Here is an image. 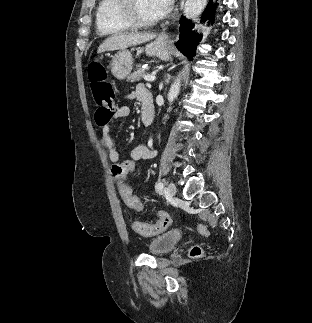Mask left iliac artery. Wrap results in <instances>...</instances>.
<instances>
[{"label":"left iliac artery","instance_id":"44dca946","mask_svg":"<svg viewBox=\"0 0 312 323\" xmlns=\"http://www.w3.org/2000/svg\"><path fill=\"white\" fill-rule=\"evenodd\" d=\"M155 188L157 191H161L164 188V183L162 181L158 182Z\"/></svg>","mask_w":312,"mask_h":323}]
</instances>
